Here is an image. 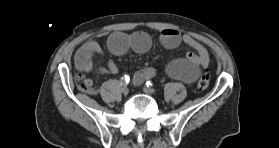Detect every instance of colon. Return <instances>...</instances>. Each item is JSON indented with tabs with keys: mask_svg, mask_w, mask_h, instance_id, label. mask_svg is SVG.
I'll return each mask as SVG.
<instances>
[{
	"mask_svg": "<svg viewBox=\"0 0 279 148\" xmlns=\"http://www.w3.org/2000/svg\"><path fill=\"white\" fill-rule=\"evenodd\" d=\"M75 82L79 90L86 93H94V88L92 86V82L85 78L83 75H76ZM209 87V73L205 70L195 85V91L200 93L205 91Z\"/></svg>",
	"mask_w": 279,
	"mask_h": 148,
	"instance_id": "1",
	"label": "colon"
}]
</instances>
